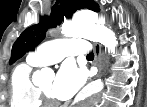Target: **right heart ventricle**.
<instances>
[{
	"label": "right heart ventricle",
	"instance_id": "e07e8e85",
	"mask_svg": "<svg viewBox=\"0 0 147 107\" xmlns=\"http://www.w3.org/2000/svg\"><path fill=\"white\" fill-rule=\"evenodd\" d=\"M41 66L27 60L19 64L13 71L10 83V103L12 107H41L31 79L32 70Z\"/></svg>",
	"mask_w": 147,
	"mask_h": 107
}]
</instances>
